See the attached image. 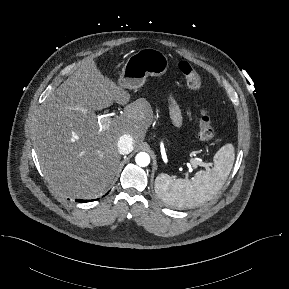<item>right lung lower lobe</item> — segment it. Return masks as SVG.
Segmentation results:
<instances>
[{"label":"right lung lower lobe","instance_id":"obj_1","mask_svg":"<svg viewBox=\"0 0 289 289\" xmlns=\"http://www.w3.org/2000/svg\"><path fill=\"white\" fill-rule=\"evenodd\" d=\"M79 202H88L87 200H77Z\"/></svg>","mask_w":289,"mask_h":289}]
</instances>
